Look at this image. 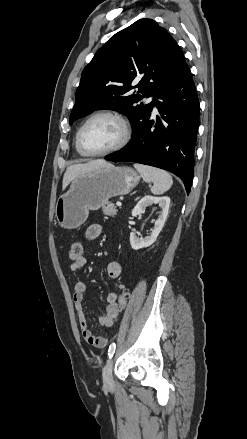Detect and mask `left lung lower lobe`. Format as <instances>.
Wrapping results in <instances>:
<instances>
[{
    "label": "left lung lower lobe",
    "mask_w": 247,
    "mask_h": 439,
    "mask_svg": "<svg viewBox=\"0 0 247 439\" xmlns=\"http://www.w3.org/2000/svg\"><path fill=\"white\" fill-rule=\"evenodd\" d=\"M153 105L157 106L163 121L157 116L155 123L149 117L132 134V140L126 147L105 159L165 169L179 176L189 192L193 181L200 108L187 64L157 93Z\"/></svg>",
    "instance_id": "1"
}]
</instances>
